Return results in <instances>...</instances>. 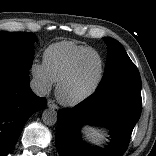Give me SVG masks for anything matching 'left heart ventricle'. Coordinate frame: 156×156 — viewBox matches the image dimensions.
<instances>
[{
    "label": "left heart ventricle",
    "instance_id": "1",
    "mask_svg": "<svg viewBox=\"0 0 156 156\" xmlns=\"http://www.w3.org/2000/svg\"><path fill=\"white\" fill-rule=\"evenodd\" d=\"M100 68V59L96 54L86 56L80 62L74 77L64 87L63 95L73 99L88 91L97 81Z\"/></svg>",
    "mask_w": 156,
    "mask_h": 156
}]
</instances>
